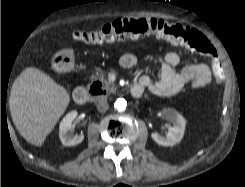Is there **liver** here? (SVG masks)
<instances>
[{
	"label": "liver",
	"instance_id": "1",
	"mask_svg": "<svg viewBox=\"0 0 245 187\" xmlns=\"http://www.w3.org/2000/svg\"><path fill=\"white\" fill-rule=\"evenodd\" d=\"M70 102L68 91L37 68H26L14 81L10 113L20 135L41 146Z\"/></svg>",
	"mask_w": 245,
	"mask_h": 187
}]
</instances>
